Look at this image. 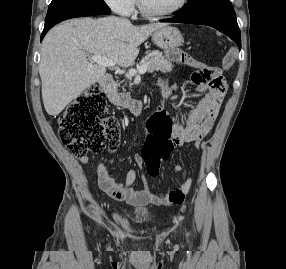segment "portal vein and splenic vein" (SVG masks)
I'll return each instance as SVG.
<instances>
[{
  "label": "portal vein and splenic vein",
  "instance_id": "obj_1",
  "mask_svg": "<svg viewBox=\"0 0 286 269\" xmlns=\"http://www.w3.org/2000/svg\"><path fill=\"white\" fill-rule=\"evenodd\" d=\"M90 60L97 63V64L103 65L105 67H115V65H116V63L114 61L108 59L105 55H93V56H91ZM147 69H148V64H145V65L137 68V70H135V69L129 70L128 74L131 76H133L137 73L144 74V73H146Z\"/></svg>",
  "mask_w": 286,
  "mask_h": 269
}]
</instances>
